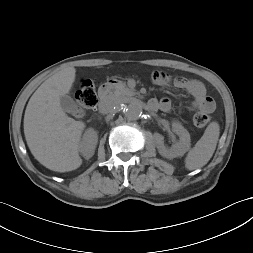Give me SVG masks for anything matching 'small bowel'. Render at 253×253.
Segmentation results:
<instances>
[{
	"mask_svg": "<svg viewBox=\"0 0 253 253\" xmlns=\"http://www.w3.org/2000/svg\"><path fill=\"white\" fill-rule=\"evenodd\" d=\"M152 80L155 84L163 87L173 86L174 88L181 89L190 94L193 98L189 106L190 111H200L211 113L215 109L214 100L207 95L204 84L198 80L187 79L184 77H176L172 79L170 75L163 71H156L152 74ZM150 102L153 104V110L169 111L171 109L170 99L164 97L160 100L152 99Z\"/></svg>",
	"mask_w": 253,
	"mask_h": 253,
	"instance_id": "obj_1",
	"label": "small bowel"
}]
</instances>
